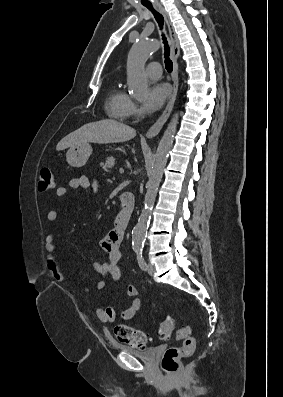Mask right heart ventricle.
<instances>
[{"label": "right heart ventricle", "instance_id": "obj_1", "mask_svg": "<svg viewBox=\"0 0 283 397\" xmlns=\"http://www.w3.org/2000/svg\"><path fill=\"white\" fill-rule=\"evenodd\" d=\"M129 100L130 97L118 85H113L108 92L105 102L108 115L113 119H124Z\"/></svg>", "mask_w": 283, "mask_h": 397}]
</instances>
